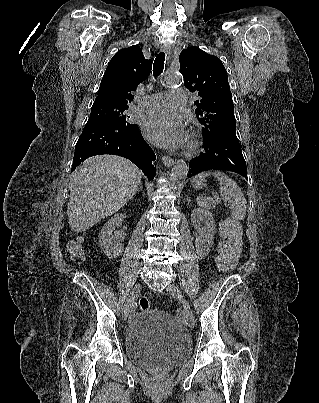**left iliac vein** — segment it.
Instances as JSON below:
<instances>
[{
    "label": "left iliac vein",
    "mask_w": 319,
    "mask_h": 403,
    "mask_svg": "<svg viewBox=\"0 0 319 403\" xmlns=\"http://www.w3.org/2000/svg\"><path fill=\"white\" fill-rule=\"evenodd\" d=\"M167 292L184 306L188 326L193 328L195 325L193 311L190 308L189 303L183 298L180 290L174 284H169L167 287Z\"/></svg>",
    "instance_id": "left-iliac-vein-1"
}]
</instances>
